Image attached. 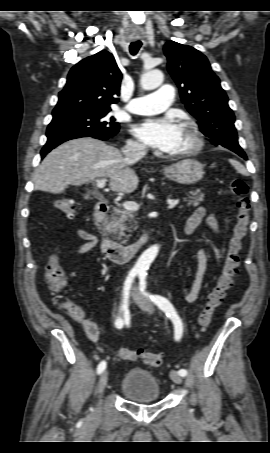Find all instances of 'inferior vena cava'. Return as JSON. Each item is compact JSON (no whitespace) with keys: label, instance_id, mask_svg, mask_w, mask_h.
<instances>
[{"label":"inferior vena cava","instance_id":"602c4592","mask_svg":"<svg viewBox=\"0 0 270 453\" xmlns=\"http://www.w3.org/2000/svg\"><path fill=\"white\" fill-rule=\"evenodd\" d=\"M122 153L127 161L134 163L146 155V150L142 145L127 144L122 148Z\"/></svg>","mask_w":270,"mask_h":453}]
</instances>
